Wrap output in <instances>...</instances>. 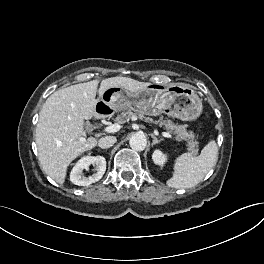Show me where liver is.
Returning <instances> with one entry per match:
<instances>
[{"label": "liver", "instance_id": "liver-1", "mask_svg": "<svg viewBox=\"0 0 264 264\" xmlns=\"http://www.w3.org/2000/svg\"><path fill=\"white\" fill-rule=\"evenodd\" d=\"M98 84L93 80L60 89L47 98L40 112L36 127L39 161L44 173L59 184L65 182L69 164L97 145L96 138H85L84 120L96 115ZM116 86L137 93L150 84L127 77L107 78L101 81L99 97Z\"/></svg>", "mask_w": 264, "mask_h": 264}]
</instances>
